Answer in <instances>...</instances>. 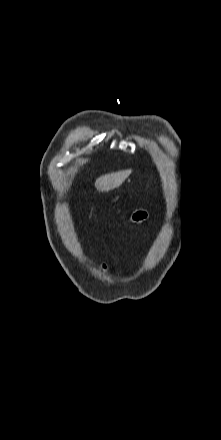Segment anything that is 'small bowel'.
<instances>
[{
	"label": "small bowel",
	"instance_id": "c3829d8e",
	"mask_svg": "<svg viewBox=\"0 0 221 440\" xmlns=\"http://www.w3.org/2000/svg\"><path fill=\"white\" fill-rule=\"evenodd\" d=\"M101 270H102V272H103L105 275L108 274V269H107V267H106L105 265H102V266H101Z\"/></svg>",
	"mask_w": 221,
	"mask_h": 440
}]
</instances>
